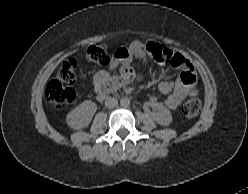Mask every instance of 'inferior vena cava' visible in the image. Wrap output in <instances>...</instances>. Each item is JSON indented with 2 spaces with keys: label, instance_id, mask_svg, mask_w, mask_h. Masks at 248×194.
Instances as JSON below:
<instances>
[{
  "label": "inferior vena cava",
  "instance_id": "inferior-vena-cava-1",
  "mask_svg": "<svg viewBox=\"0 0 248 194\" xmlns=\"http://www.w3.org/2000/svg\"><path fill=\"white\" fill-rule=\"evenodd\" d=\"M118 105V101L115 98L109 97L105 100V106L108 108H114Z\"/></svg>",
  "mask_w": 248,
  "mask_h": 194
}]
</instances>
